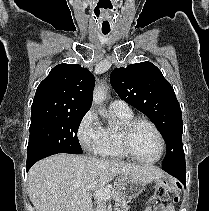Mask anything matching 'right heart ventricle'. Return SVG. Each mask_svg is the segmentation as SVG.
Returning <instances> with one entry per match:
<instances>
[{
  "label": "right heart ventricle",
  "instance_id": "obj_1",
  "mask_svg": "<svg viewBox=\"0 0 209 211\" xmlns=\"http://www.w3.org/2000/svg\"><path fill=\"white\" fill-rule=\"evenodd\" d=\"M116 122L102 127V138L94 151L98 156L104 159L123 161L127 160V155L123 152L120 144V128L121 126L133 118L130 112L113 111Z\"/></svg>",
  "mask_w": 209,
  "mask_h": 211
}]
</instances>
